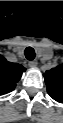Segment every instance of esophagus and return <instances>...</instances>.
Segmentation results:
<instances>
[{
    "instance_id": "obj_1",
    "label": "esophagus",
    "mask_w": 63,
    "mask_h": 123,
    "mask_svg": "<svg viewBox=\"0 0 63 123\" xmlns=\"http://www.w3.org/2000/svg\"><path fill=\"white\" fill-rule=\"evenodd\" d=\"M37 64H38V63H37V61H35V60L29 62V66H30L31 68L36 67Z\"/></svg>"
}]
</instances>
